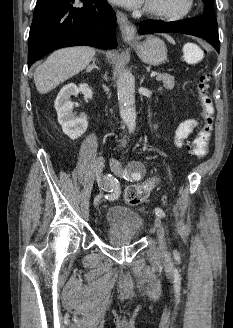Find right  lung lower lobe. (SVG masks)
Segmentation results:
<instances>
[{
	"label": "right lung lower lobe",
	"mask_w": 233,
	"mask_h": 328,
	"mask_svg": "<svg viewBox=\"0 0 233 328\" xmlns=\"http://www.w3.org/2000/svg\"><path fill=\"white\" fill-rule=\"evenodd\" d=\"M115 12L106 0H37L28 39V68L51 51L116 47Z\"/></svg>",
	"instance_id": "right-lung-lower-lobe-1"
}]
</instances>
